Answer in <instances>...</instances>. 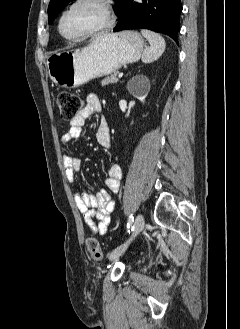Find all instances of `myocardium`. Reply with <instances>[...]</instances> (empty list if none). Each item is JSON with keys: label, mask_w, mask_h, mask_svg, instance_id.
Listing matches in <instances>:
<instances>
[{"label": "myocardium", "mask_w": 240, "mask_h": 329, "mask_svg": "<svg viewBox=\"0 0 240 329\" xmlns=\"http://www.w3.org/2000/svg\"><path fill=\"white\" fill-rule=\"evenodd\" d=\"M82 3H94L98 6H100L103 11H104V15H105V22L102 23L99 26H96L92 29H89L83 33L74 35V36H67L62 32V21L64 19V17L77 5L82 4ZM116 21V16H115V11L113 8V4H112V0H73L68 6H66L60 13L58 20H57V31L59 33V35L64 38L67 41H77V40H81L87 37H90L92 35L98 34V33H102L105 32L107 30H109L110 28L113 27V25L115 24Z\"/></svg>", "instance_id": "f54148a6"}]
</instances>
